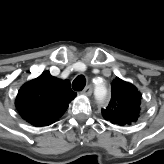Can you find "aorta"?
<instances>
[{"label":"aorta","instance_id":"obj_1","mask_svg":"<svg viewBox=\"0 0 164 164\" xmlns=\"http://www.w3.org/2000/svg\"><path fill=\"white\" fill-rule=\"evenodd\" d=\"M107 96V90L104 86L98 85L95 88V97L98 101H103Z\"/></svg>","mask_w":164,"mask_h":164}]
</instances>
